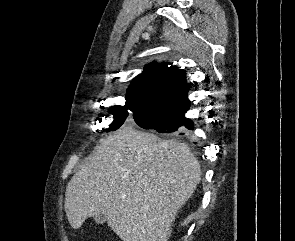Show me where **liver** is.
<instances>
[{
	"label": "liver",
	"mask_w": 295,
	"mask_h": 241,
	"mask_svg": "<svg viewBox=\"0 0 295 241\" xmlns=\"http://www.w3.org/2000/svg\"><path fill=\"white\" fill-rule=\"evenodd\" d=\"M200 180L199 162L184 143L124 127L101 140L74 174L64 207L74 229L104 214L123 241H168Z\"/></svg>",
	"instance_id": "1"
}]
</instances>
